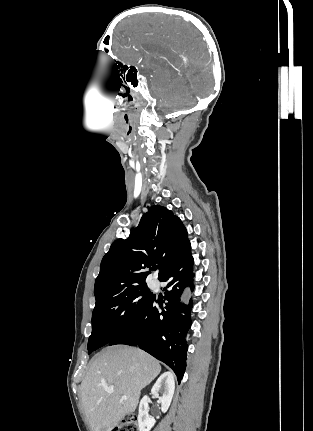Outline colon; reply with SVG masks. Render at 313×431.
<instances>
[{
    "mask_svg": "<svg viewBox=\"0 0 313 431\" xmlns=\"http://www.w3.org/2000/svg\"><path fill=\"white\" fill-rule=\"evenodd\" d=\"M113 431H139L134 415H127Z\"/></svg>",
    "mask_w": 313,
    "mask_h": 431,
    "instance_id": "colon-1",
    "label": "colon"
}]
</instances>
